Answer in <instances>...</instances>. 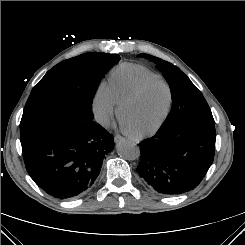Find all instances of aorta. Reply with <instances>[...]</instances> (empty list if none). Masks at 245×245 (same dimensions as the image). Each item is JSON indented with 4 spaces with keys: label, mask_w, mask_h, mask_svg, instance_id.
<instances>
[{
    "label": "aorta",
    "mask_w": 245,
    "mask_h": 245,
    "mask_svg": "<svg viewBox=\"0 0 245 245\" xmlns=\"http://www.w3.org/2000/svg\"><path fill=\"white\" fill-rule=\"evenodd\" d=\"M117 153L126 160H136L140 157L139 147L126 139L120 140L116 146Z\"/></svg>",
    "instance_id": "obj_1"
}]
</instances>
